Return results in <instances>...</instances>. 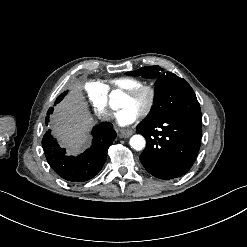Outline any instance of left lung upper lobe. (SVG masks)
<instances>
[{
  "instance_id": "obj_1",
  "label": "left lung upper lobe",
  "mask_w": 247,
  "mask_h": 247,
  "mask_svg": "<svg viewBox=\"0 0 247 247\" xmlns=\"http://www.w3.org/2000/svg\"><path fill=\"white\" fill-rule=\"evenodd\" d=\"M160 69L159 66H146L126 73L144 78H157L153 107L141 123L152 124L174 115L201 119L200 105L191 86L173 73L160 75Z\"/></svg>"
}]
</instances>
